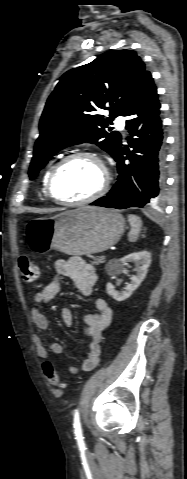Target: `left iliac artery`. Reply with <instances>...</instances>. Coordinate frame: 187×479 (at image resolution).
<instances>
[{
	"instance_id": "left-iliac-artery-1",
	"label": "left iliac artery",
	"mask_w": 187,
	"mask_h": 479,
	"mask_svg": "<svg viewBox=\"0 0 187 479\" xmlns=\"http://www.w3.org/2000/svg\"><path fill=\"white\" fill-rule=\"evenodd\" d=\"M73 426L75 428V435L76 439L78 441H82L83 436H82V429H81V424H80V418H79V412L78 410H75L74 412V423Z\"/></svg>"
}]
</instances>
